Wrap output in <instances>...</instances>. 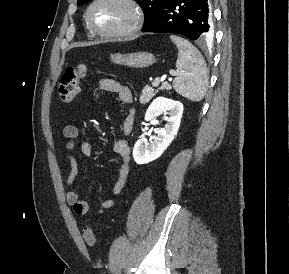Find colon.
Listing matches in <instances>:
<instances>
[{"label":"colon","mask_w":289,"mask_h":274,"mask_svg":"<svg viewBox=\"0 0 289 274\" xmlns=\"http://www.w3.org/2000/svg\"><path fill=\"white\" fill-rule=\"evenodd\" d=\"M87 68L81 64L77 67L66 68L60 77L58 97L64 104H70L79 92L80 83L85 78ZM83 238L88 246H95L97 239L94 231L86 226L83 229Z\"/></svg>","instance_id":"obj_1"}]
</instances>
